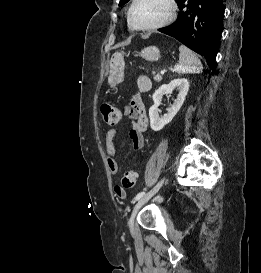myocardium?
<instances>
[{"label": "myocardium", "mask_w": 261, "mask_h": 273, "mask_svg": "<svg viewBox=\"0 0 261 273\" xmlns=\"http://www.w3.org/2000/svg\"><path fill=\"white\" fill-rule=\"evenodd\" d=\"M137 2H138V0H132L130 6L128 8V11H127L128 25L132 30L141 31V32H149V31L158 30V29L168 26L176 18L177 4H176L175 0H165V2L168 5V13L163 20H161L158 23L149 25V26H143V27L136 26L133 22V19H132V11H133V8Z\"/></svg>", "instance_id": "1"}]
</instances>
